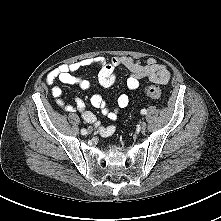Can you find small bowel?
I'll return each mask as SVG.
<instances>
[{"instance_id": "1", "label": "small bowel", "mask_w": 221, "mask_h": 221, "mask_svg": "<svg viewBox=\"0 0 221 221\" xmlns=\"http://www.w3.org/2000/svg\"><path fill=\"white\" fill-rule=\"evenodd\" d=\"M120 66L125 67L130 72L126 81L129 91H135L139 87V81L143 78L156 84H166L171 78L169 69L164 64L158 63L155 58H148L144 63H141L130 56L113 57L109 60L103 56H96L58 66L48 73L46 82L51 86L52 96L60 108L66 112H78L86 123L92 124L98 130L101 136L109 137L114 134L116 127L114 125H101L96 116L86 108L85 102L81 98H76L71 104L64 102L62 88L57 82L76 84L84 90L90 89V81L75 75V73L83 68L95 67L98 69L99 84L103 87H110L116 80V69ZM90 103L93 107L100 109L101 113L109 120L115 121L119 110L128 106L129 97L127 94L119 95L114 109H110L99 94H93Z\"/></svg>"}]
</instances>
